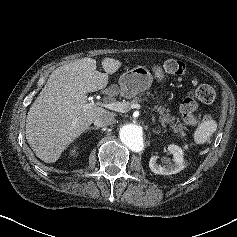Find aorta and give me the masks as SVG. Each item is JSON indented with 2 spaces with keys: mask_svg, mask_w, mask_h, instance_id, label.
I'll list each match as a JSON object with an SVG mask.
<instances>
[{
  "mask_svg": "<svg viewBox=\"0 0 237 237\" xmlns=\"http://www.w3.org/2000/svg\"><path fill=\"white\" fill-rule=\"evenodd\" d=\"M119 136L121 141L131 150L140 151L143 148L142 129L135 124H126L121 127Z\"/></svg>",
  "mask_w": 237,
  "mask_h": 237,
  "instance_id": "1",
  "label": "aorta"
}]
</instances>
